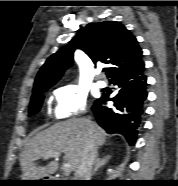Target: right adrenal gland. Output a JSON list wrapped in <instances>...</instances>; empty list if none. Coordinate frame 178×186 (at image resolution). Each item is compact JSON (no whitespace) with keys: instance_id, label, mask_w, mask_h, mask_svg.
<instances>
[{"instance_id":"2a0ac1e0","label":"right adrenal gland","mask_w":178,"mask_h":186,"mask_svg":"<svg viewBox=\"0 0 178 186\" xmlns=\"http://www.w3.org/2000/svg\"><path fill=\"white\" fill-rule=\"evenodd\" d=\"M110 158H111L110 155H106L100 158L99 155L97 154L92 175H95L98 169L105 165L110 160Z\"/></svg>"}]
</instances>
